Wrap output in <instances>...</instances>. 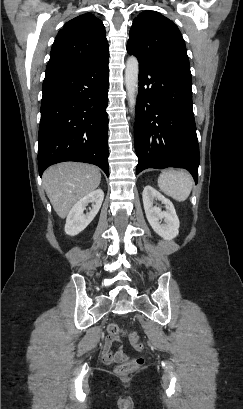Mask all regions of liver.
<instances>
[{
  "mask_svg": "<svg viewBox=\"0 0 243 409\" xmlns=\"http://www.w3.org/2000/svg\"><path fill=\"white\" fill-rule=\"evenodd\" d=\"M98 167L86 163L64 162L49 167L43 174L46 194L60 218L100 184Z\"/></svg>",
  "mask_w": 243,
  "mask_h": 409,
  "instance_id": "1",
  "label": "liver"
}]
</instances>
